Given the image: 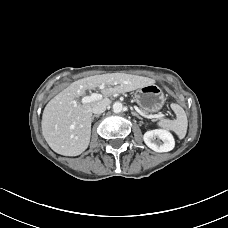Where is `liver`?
Returning <instances> with one entry per match:
<instances>
[{"mask_svg":"<svg viewBox=\"0 0 228 228\" xmlns=\"http://www.w3.org/2000/svg\"><path fill=\"white\" fill-rule=\"evenodd\" d=\"M155 80L125 73H107L77 80L58 93L46 105L42 115V134L53 151L64 156H77L90 142L93 106L108 97L154 84ZM99 87L104 98L86 104L77 99L87 90Z\"/></svg>","mask_w":228,"mask_h":228,"instance_id":"obj_1","label":"liver"}]
</instances>
